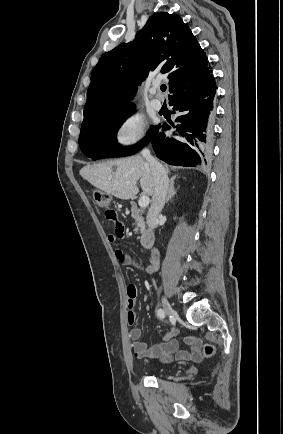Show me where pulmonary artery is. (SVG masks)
Wrapping results in <instances>:
<instances>
[{
    "label": "pulmonary artery",
    "instance_id": "e3ab8cb5",
    "mask_svg": "<svg viewBox=\"0 0 283 434\" xmlns=\"http://www.w3.org/2000/svg\"><path fill=\"white\" fill-rule=\"evenodd\" d=\"M160 92L159 85L154 84L151 88V94L153 95V98L151 100V106L155 110H160L162 108V100L158 97Z\"/></svg>",
    "mask_w": 283,
    "mask_h": 434
}]
</instances>
